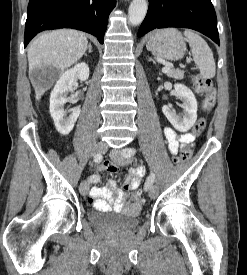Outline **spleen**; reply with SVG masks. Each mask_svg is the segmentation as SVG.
I'll return each instance as SVG.
<instances>
[{
    "label": "spleen",
    "mask_w": 247,
    "mask_h": 275,
    "mask_svg": "<svg viewBox=\"0 0 247 275\" xmlns=\"http://www.w3.org/2000/svg\"><path fill=\"white\" fill-rule=\"evenodd\" d=\"M184 35L192 49L193 59L200 70L201 77L204 79L213 78L216 66L212 50L206 41L191 30H185Z\"/></svg>",
    "instance_id": "3e777b00"
}]
</instances>
